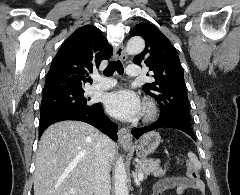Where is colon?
Listing matches in <instances>:
<instances>
[{
	"mask_svg": "<svg viewBox=\"0 0 240 195\" xmlns=\"http://www.w3.org/2000/svg\"><path fill=\"white\" fill-rule=\"evenodd\" d=\"M186 165H187L186 172L188 174L190 173V177H193V180H198V171H195V168L190 167V165H191V160L190 159L186 160ZM197 186L198 187L202 186V181L201 180L197 181Z\"/></svg>",
	"mask_w": 240,
	"mask_h": 195,
	"instance_id": "obj_1",
	"label": "colon"
}]
</instances>
